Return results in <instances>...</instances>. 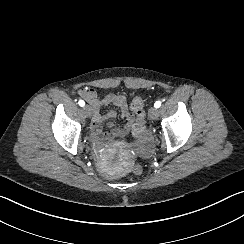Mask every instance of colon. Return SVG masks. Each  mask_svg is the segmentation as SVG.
<instances>
[{
	"label": "colon",
	"mask_w": 244,
	"mask_h": 244,
	"mask_svg": "<svg viewBox=\"0 0 244 244\" xmlns=\"http://www.w3.org/2000/svg\"><path fill=\"white\" fill-rule=\"evenodd\" d=\"M91 91H87L85 93V96L87 97L88 95H91ZM144 105H145V97L144 95H139L135 97L131 104H130V109L133 113V115L136 117V121L133 124L132 127V132L139 136L145 132V127H144V122H145V111H144ZM119 143L121 146L126 147L129 145L130 140L128 137L123 136L120 138ZM133 172L136 175H141L144 172V167L141 164H136L133 167Z\"/></svg>",
	"instance_id": "obj_1"
}]
</instances>
